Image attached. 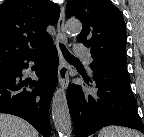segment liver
Masks as SVG:
<instances>
[{
	"mask_svg": "<svg viewBox=\"0 0 144 137\" xmlns=\"http://www.w3.org/2000/svg\"><path fill=\"white\" fill-rule=\"evenodd\" d=\"M27 121L10 114H0V137H38Z\"/></svg>",
	"mask_w": 144,
	"mask_h": 137,
	"instance_id": "obj_1",
	"label": "liver"
}]
</instances>
